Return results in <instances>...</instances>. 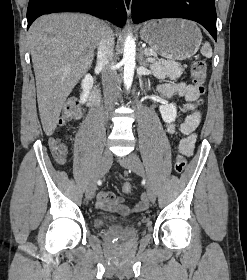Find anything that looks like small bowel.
<instances>
[{
  "instance_id": "small-bowel-1",
  "label": "small bowel",
  "mask_w": 247,
  "mask_h": 280,
  "mask_svg": "<svg viewBox=\"0 0 247 280\" xmlns=\"http://www.w3.org/2000/svg\"><path fill=\"white\" fill-rule=\"evenodd\" d=\"M159 90L166 97H172L174 95L184 97L186 100L184 105L185 111H189L194 108V102L199 96V92L196 87L186 83L164 84L159 88ZM199 121V114H190L179 127V130L187 135L181 140L179 145V149L184 155L190 156L193 152L196 141V134L194 133V130L199 124ZM167 130L170 134L177 133V128L173 124H168ZM96 205L101 210L118 212L122 215H129L144 211L148 207V199L147 196L143 194L140 201L131 208L123 203L122 198L116 197L112 192L102 191L98 194Z\"/></svg>"
}]
</instances>
